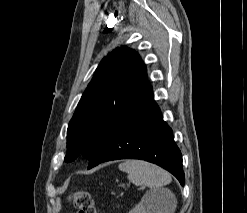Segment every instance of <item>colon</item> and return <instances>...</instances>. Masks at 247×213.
I'll list each match as a JSON object with an SVG mask.
<instances>
[{
    "label": "colon",
    "instance_id": "5ec220e1",
    "mask_svg": "<svg viewBox=\"0 0 247 213\" xmlns=\"http://www.w3.org/2000/svg\"><path fill=\"white\" fill-rule=\"evenodd\" d=\"M71 201L77 213H97L92 195L87 191H76L71 196Z\"/></svg>",
    "mask_w": 247,
    "mask_h": 213
}]
</instances>
